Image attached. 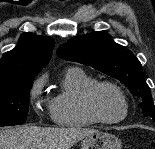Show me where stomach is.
<instances>
[{"label": "stomach", "mask_w": 155, "mask_h": 149, "mask_svg": "<svg viewBox=\"0 0 155 149\" xmlns=\"http://www.w3.org/2000/svg\"><path fill=\"white\" fill-rule=\"evenodd\" d=\"M81 149H121V141L115 135L97 131L82 140Z\"/></svg>", "instance_id": "1"}]
</instances>
